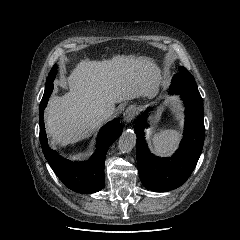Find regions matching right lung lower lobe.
<instances>
[{
    "mask_svg": "<svg viewBox=\"0 0 240 240\" xmlns=\"http://www.w3.org/2000/svg\"><path fill=\"white\" fill-rule=\"evenodd\" d=\"M46 105L47 102L39 107V138L49 165L67 188L83 194L100 191L105 186L104 164L107 150L122 133L119 120L114 119L99 131L96 151L88 161L72 162L59 156L48 145L43 120Z\"/></svg>",
    "mask_w": 240,
    "mask_h": 240,
    "instance_id": "obj_1",
    "label": "right lung lower lobe"
}]
</instances>
